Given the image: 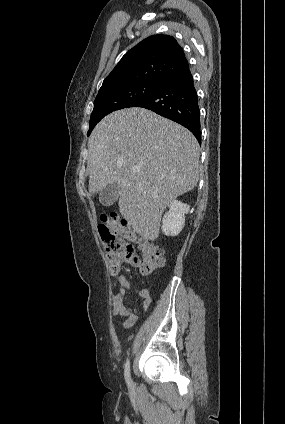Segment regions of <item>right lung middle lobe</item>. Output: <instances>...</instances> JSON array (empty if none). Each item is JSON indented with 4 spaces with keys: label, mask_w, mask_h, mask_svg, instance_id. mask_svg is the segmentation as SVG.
Wrapping results in <instances>:
<instances>
[{
    "label": "right lung middle lobe",
    "mask_w": 285,
    "mask_h": 424,
    "mask_svg": "<svg viewBox=\"0 0 285 424\" xmlns=\"http://www.w3.org/2000/svg\"><path fill=\"white\" fill-rule=\"evenodd\" d=\"M163 85L159 81H140L111 87L98 92L90 118V135L96 124L109 113L130 107L136 101L154 93Z\"/></svg>",
    "instance_id": "obj_1"
}]
</instances>
